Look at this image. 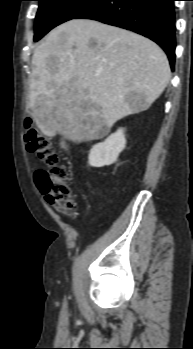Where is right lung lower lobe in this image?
Returning a JSON list of instances; mask_svg holds the SVG:
<instances>
[{
  "label": "right lung lower lobe",
  "instance_id": "98d812e1",
  "mask_svg": "<svg viewBox=\"0 0 193 349\" xmlns=\"http://www.w3.org/2000/svg\"><path fill=\"white\" fill-rule=\"evenodd\" d=\"M175 0H97L74 19H92L118 26L159 44L171 69L175 62Z\"/></svg>",
  "mask_w": 193,
  "mask_h": 349
}]
</instances>
